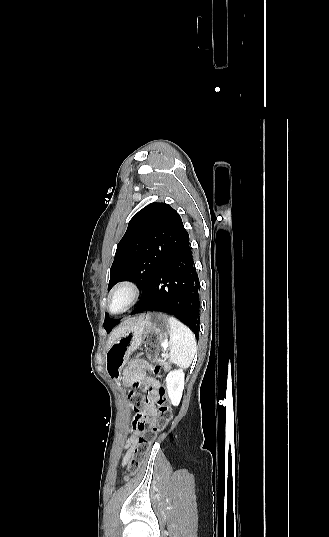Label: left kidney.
Segmentation results:
<instances>
[{"label":"left kidney","mask_w":329,"mask_h":537,"mask_svg":"<svg viewBox=\"0 0 329 537\" xmlns=\"http://www.w3.org/2000/svg\"><path fill=\"white\" fill-rule=\"evenodd\" d=\"M184 371L177 369L170 371L166 377V386L171 403L178 406L184 389Z\"/></svg>","instance_id":"obj_1"}]
</instances>
